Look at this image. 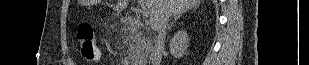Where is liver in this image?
Wrapping results in <instances>:
<instances>
[{"label": "liver", "mask_w": 309, "mask_h": 65, "mask_svg": "<svg viewBox=\"0 0 309 65\" xmlns=\"http://www.w3.org/2000/svg\"><path fill=\"white\" fill-rule=\"evenodd\" d=\"M106 1V0H105ZM101 0H86L85 4H95ZM107 2V1H106ZM116 2V1H115ZM129 0H117L116 4L106 3L120 14L128 5ZM201 0H144L149 10V23L153 30H158L165 17L185 13L187 10L197 7Z\"/></svg>", "instance_id": "6515ba94"}]
</instances>
